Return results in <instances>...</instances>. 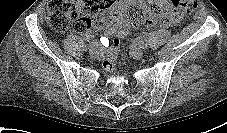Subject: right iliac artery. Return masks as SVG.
Here are the masks:
<instances>
[{"mask_svg": "<svg viewBox=\"0 0 227 133\" xmlns=\"http://www.w3.org/2000/svg\"><path fill=\"white\" fill-rule=\"evenodd\" d=\"M93 47L99 48L100 51H105V46L100 45V43H89L88 45L85 46V50H90Z\"/></svg>", "mask_w": 227, "mask_h": 133, "instance_id": "right-iliac-artery-1", "label": "right iliac artery"}]
</instances>
